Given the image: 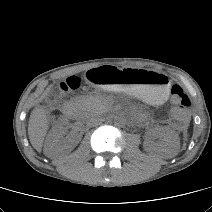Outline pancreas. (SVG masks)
I'll list each match as a JSON object with an SVG mask.
<instances>
[{
    "label": "pancreas",
    "instance_id": "1",
    "mask_svg": "<svg viewBox=\"0 0 212 212\" xmlns=\"http://www.w3.org/2000/svg\"><path fill=\"white\" fill-rule=\"evenodd\" d=\"M74 102L84 112L96 111L103 106L102 100L94 96H79L74 100Z\"/></svg>",
    "mask_w": 212,
    "mask_h": 212
}]
</instances>
